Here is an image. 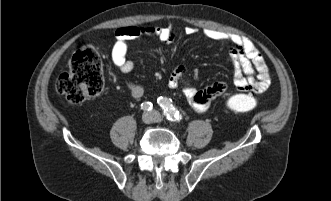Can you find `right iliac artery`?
Masks as SVG:
<instances>
[{
    "label": "right iliac artery",
    "instance_id": "obj_1",
    "mask_svg": "<svg viewBox=\"0 0 331 201\" xmlns=\"http://www.w3.org/2000/svg\"><path fill=\"white\" fill-rule=\"evenodd\" d=\"M141 108L144 110V111H150L152 108H153V105L151 102H143L141 104Z\"/></svg>",
    "mask_w": 331,
    "mask_h": 201
}]
</instances>
